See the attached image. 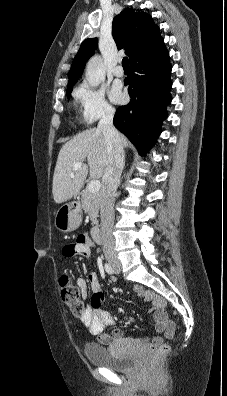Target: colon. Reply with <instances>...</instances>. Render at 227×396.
Masks as SVG:
<instances>
[{
    "instance_id": "obj_1",
    "label": "colon",
    "mask_w": 227,
    "mask_h": 396,
    "mask_svg": "<svg viewBox=\"0 0 227 396\" xmlns=\"http://www.w3.org/2000/svg\"><path fill=\"white\" fill-rule=\"evenodd\" d=\"M60 290L61 298L64 304L78 316L83 315L85 311V306L81 301V296L76 285L72 282L71 277L67 273H63L60 276ZM169 351V346L167 344H162L156 348L153 352L151 362L156 364L159 359Z\"/></svg>"
}]
</instances>
